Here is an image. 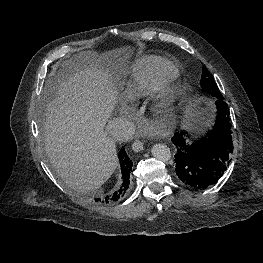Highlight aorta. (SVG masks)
<instances>
[{
  "instance_id": "762f6f07",
  "label": "aorta",
  "mask_w": 263,
  "mask_h": 263,
  "mask_svg": "<svg viewBox=\"0 0 263 263\" xmlns=\"http://www.w3.org/2000/svg\"><path fill=\"white\" fill-rule=\"evenodd\" d=\"M151 152L154 158L163 162H166L171 158L170 148L165 144H155L152 147Z\"/></svg>"
}]
</instances>
